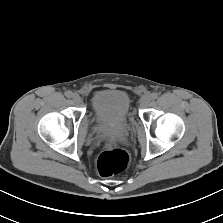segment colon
Masks as SVG:
<instances>
[{
  "label": "colon",
  "mask_w": 223,
  "mask_h": 223,
  "mask_svg": "<svg viewBox=\"0 0 223 223\" xmlns=\"http://www.w3.org/2000/svg\"><path fill=\"white\" fill-rule=\"evenodd\" d=\"M128 163L129 155L125 150L110 146L99 155L97 169L101 176L110 177L124 171Z\"/></svg>",
  "instance_id": "colon-1"
}]
</instances>
